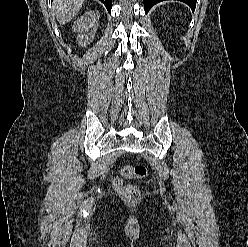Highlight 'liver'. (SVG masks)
Here are the masks:
<instances>
[{
  "label": "liver",
  "mask_w": 248,
  "mask_h": 247,
  "mask_svg": "<svg viewBox=\"0 0 248 247\" xmlns=\"http://www.w3.org/2000/svg\"><path fill=\"white\" fill-rule=\"evenodd\" d=\"M84 0H54L53 10L60 25L68 23L82 8Z\"/></svg>",
  "instance_id": "6515ba94"
}]
</instances>
